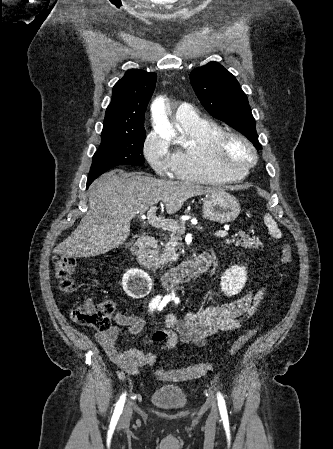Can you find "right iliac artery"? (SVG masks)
<instances>
[{"mask_svg":"<svg viewBox=\"0 0 333 449\" xmlns=\"http://www.w3.org/2000/svg\"><path fill=\"white\" fill-rule=\"evenodd\" d=\"M160 298L159 296H157L156 298H154L150 304L149 307L151 310L156 309L157 307L161 310L164 306H166V304L170 301L169 297H165L161 302H160ZM125 398H126V394H122V396L120 397L119 401L116 404L112 419H111V425H116L123 407H124V403H125Z\"/></svg>","mask_w":333,"mask_h":449,"instance_id":"obj_1","label":"right iliac artery"}]
</instances>
